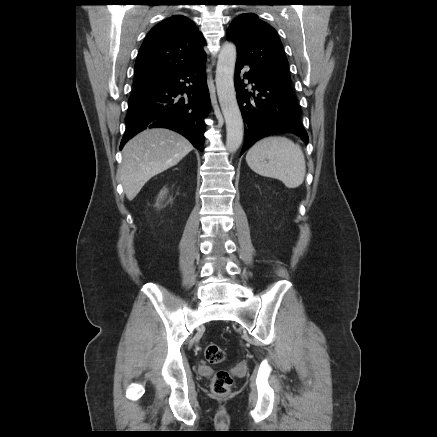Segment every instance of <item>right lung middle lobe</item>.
Instances as JSON below:
<instances>
[{
	"label": "right lung middle lobe",
	"instance_id": "1",
	"mask_svg": "<svg viewBox=\"0 0 437 437\" xmlns=\"http://www.w3.org/2000/svg\"><path fill=\"white\" fill-rule=\"evenodd\" d=\"M155 83H156V81L155 82H152V81L136 82L134 84L133 93L147 89V88L153 86Z\"/></svg>",
	"mask_w": 437,
	"mask_h": 437
}]
</instances>
